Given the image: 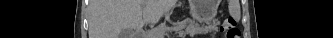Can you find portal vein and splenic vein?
I'll use <instances>...</instances> for the list:
<instances>
[{
    "instance_id": "portal-vein-and-splenic-vein-1",
    "label": "portal vein and splenic vein",
    "mask_w": 333,
    "mask_h": 38,
    "mask_svg": "<svg viewBox=\"0 0 333 38\" xmlns=\"http://www.w3.org/2000/svg\"><path fill=\"white\" fill-rule=\"evenodd\" d=\"M163 29H166V27H165V26H163Z\"/></svg>"
}]
</instances>
